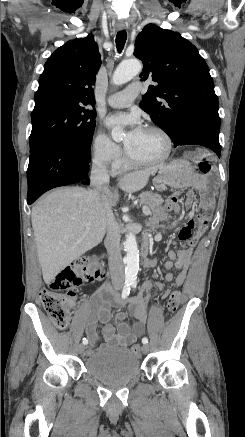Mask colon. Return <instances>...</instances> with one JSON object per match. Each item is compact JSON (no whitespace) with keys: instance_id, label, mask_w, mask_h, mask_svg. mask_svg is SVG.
Returning <instances> with one entry per match:
<instances>
[{"instance_id":"5ec220e1","label":"colon","mask_w":245,"mask_h":437,"mask_svg":"<svg viewBox=\"0 0 245 437\" xmlns=\"http://www.w3.org/2000/svg\"><path fill=\"white\" fill-rule=\"evenodd\" d=\"M203 161H198L199 170L207 174L211 170V163L206 156ZM178 194L172 195L168 203H177ZM104 276L102 266L93 258L82 260L74 268L69 267L60 272L49 285V288L41 292L42 305L53 324L59 328L67 327L70 320V307L74 300L73 289L83 283L100 280ZM181 293H170L166 309L168 314H173L179 307ZM132 351L141 355L142 348L139 344H133Z\"/></svg>"}]
</instances>
